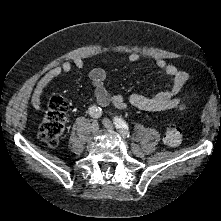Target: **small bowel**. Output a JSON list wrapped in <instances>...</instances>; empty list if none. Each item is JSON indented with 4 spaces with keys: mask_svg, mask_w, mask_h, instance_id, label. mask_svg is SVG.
I'll return each instance as SVG.
<instances>
[{
    "mask_svg": "<svg viewBox=\"0 0 221 221\" xmlns=\"http://www.w3.org/2000/svg\"><path fill=\"white\" fill-rule=\"evenodd\" d=\"M130 62H137L140 59L139 54L131 53L128 56ZM84 60L81 58L74 59L73 62L66 61L46 72L38 81L34 92L33 102L39 107L41 96L45 88L62 73H69L73 66L83 68ZM158 69L171 80L169 89L161 91L153 96H144L141 94H131L128 97V103L140 110L145 111H162L176 109L181 104L179 93L189 80L187 72L178 69L176 66L167 63L162 59L156 60ZM90 81L94 88L95 99L100 107H106L112 104L119 110H126L127 104L124 96L116 94L111 96L105 88L106 73L102 68H94L89 73Z\"/></svg>",
    "mask_w": 221,
    "mask_h": 221,
    "instance_id": "obj_1",
    "label": "small bowel"
}]
</instances>
